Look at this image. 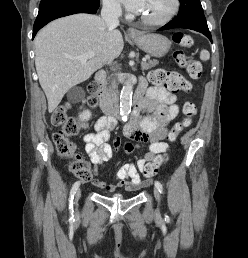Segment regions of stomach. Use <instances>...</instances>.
Returning a JSON list of instances; mask_svg holds the SVG:
<instances>
[{
  "label": "stomach",
  "instance_id": "1",
  "mask_svg": "<svg viewBox=\"0 0 248 258\" xmlns=\"http://www.w3.org/2000/svg\"><path fill=\"white\" fill-rule=\"evenodd\" d=\"M130 40L140 49L157 58L163 57L171 47V41L159 34L140 33L136 37H131Z\"/></svg>",
  "mask_w": 248,
  "mask_h": 258
}]
</instances>
